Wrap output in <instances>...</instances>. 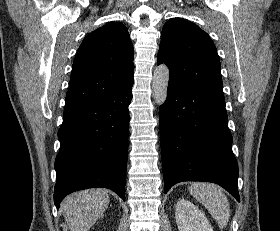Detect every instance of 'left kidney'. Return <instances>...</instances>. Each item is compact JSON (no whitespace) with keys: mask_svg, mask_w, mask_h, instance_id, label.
Listing matches in <instances>:
<instances>
[{"mask_svg":"<svg viewBox=\"0 0 280 231\" xmlns=\"http://www.w3.org/2000/svg\"><path fill=\"white\" fill-rule=\"evenodd\" d=\"M175 219L179 231H213L206 215L187 199H178Z\"/></svg>","mask_w":280,"mask_h":231,"instance_id":"5707ae66","label":"left kidney"}]
</instances>
